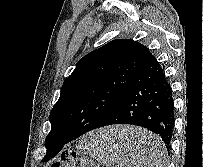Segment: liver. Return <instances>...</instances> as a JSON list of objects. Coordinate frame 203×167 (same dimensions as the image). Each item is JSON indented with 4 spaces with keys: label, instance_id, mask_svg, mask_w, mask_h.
Instances as JSON below:
<instances>
[{
    "label": "liver",
    "instance_id": "liver-1",
    "mask_svg": "<svg viewBox=\"0 0 203 167\" xmlns=\"http://www.w3.org/2000/svg\"><path fill=\"white\" fill-rule=\"evenodd\" d=\"M107 132L126 160H140L144 156L143 148L148 139L153 138L147 130L133 126H115L109 128Z\"/></svg>",
    "mask_w": 203,
    "mask_h": 167
}]
</instances>
